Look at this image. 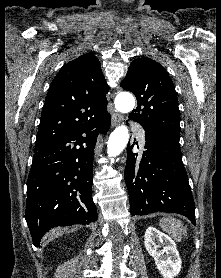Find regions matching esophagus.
Listing matches in <instances>:
<instances>
[{
	"mask_svg": "<svg viewBox=\"0 0 221 278\" xmlns=\"http://www.w3.org/2000/svg\"><path fill=\"white\" fill-rule=\"evenodd\" d=\"M123 120V116L115 111L112 113V126L115 127L119 125Z\"/></svg>",
	"mask_w": 221,
	"mask_h": 278,
	"instance_id": "1",
	"label": "esophagus"
}]
</instances>
